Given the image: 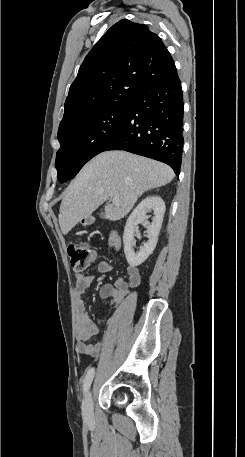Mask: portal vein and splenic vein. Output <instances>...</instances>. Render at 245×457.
<instances>
[{"instance_id":"obj_1","label":"portal vein and splenic vein","mask_w":245,"mask_h":457,"mask_svg":"<svg viewBox=\"0 0 245 457\" xmlns=\"http://www.w3.org/2000/svg\"><path fill=\"white\" fill-rule=\"evenodd\" d=\"M112 202H113V204H119L118 196H114V198H112Z\"/></svg>"}]
</instances>
